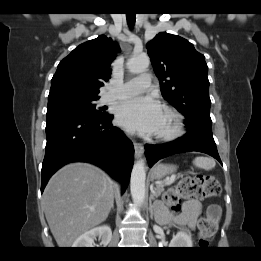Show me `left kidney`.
<instances>
[{
	"label": "left kidney",
	"instance_id": "left-kidney-1",
	"mask_svg": "<svg viewBox=\"0 0 261 261\" xmlns=\"http://www.w3.org/2000/svg\"><path fill=\"white\" fill-rule=\"evenodd\" d=\"M171 247L190 248L193 246L191 235L185 231H179L170 242Z\"/></svg>",
	"mask_w": 261,
	"mask_h": 261
}]
</instances>
